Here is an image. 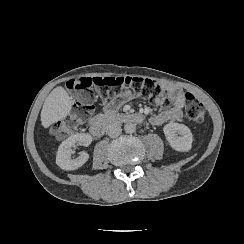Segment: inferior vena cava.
<instances>
[{
    "label": "inferior vena cava",
    "mask_w": 244,
    "mask_h": 244,
    "mask_svg": "<svg viewBox=\"0 0 244 244\" xmlns=\"http://www.w3.org/2000/svg\"><path fill=\"white\" fill-rule=\"evenodd\" d=\"M122 132V128L119 125H113L109 128L108 135L111 138L118 137Z\"/></svg>",
    "instance_id": "1"
}]
</instances>
